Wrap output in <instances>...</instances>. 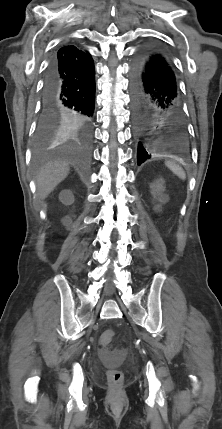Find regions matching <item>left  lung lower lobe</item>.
Returning <instances> with one entry per match:
<instances>
[{
  "label": "left lung lower lobe",
  "instance_id": "obj_1",
  "mask_svg": "<svg viewBox=\"0 0 222 429\" xmlns=\"http://www.w3.org/2000/svg\"><path fill=\"white\" fill-rule=\"evenodd\" d=\"M131 108L138 165L187 149V128L173 66L159 48H141L131 68Z\"/></svg>",
  "mask_w": 222,
  "mask_h": 429
}]
</instances>
